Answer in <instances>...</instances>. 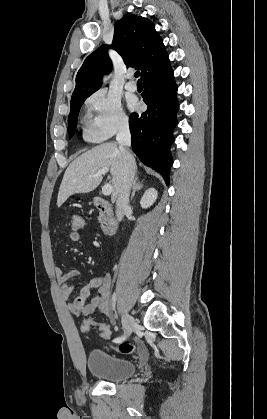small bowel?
<instances>
[{
    "label": "small bowel",
    "mask_w": 267,
    "mask_h": 419,
    "mask_svg": "<svg viewBox=\"0 0 267 419\" xmlns=\"http://www.w3.org/2000/svg\"><path fill=\"white\" fill-rule=\"evenodd\" d=\"M68 237L75 242L81 240L79 232L69 231ZM54 274L63 299L68 301V310L71 314L80 317L98 313L108 315L110 313L111 276L109 274L92 277L80 287L77 295L72 300L70 299L75 291V286L70 283V280L77 277L80 272L76 269L63 272L59 266H55ZM93 289L97 290V294L88 301Z\"/></svg>",
    "instance_id": "c3829d8e"
}]
</instances>
